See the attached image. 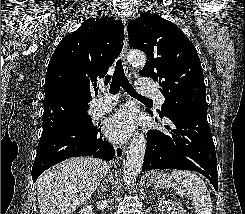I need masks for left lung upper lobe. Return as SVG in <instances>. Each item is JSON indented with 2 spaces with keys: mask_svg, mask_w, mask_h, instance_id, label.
<instances>
[{
  "mask_svg": "<svg viewBox=\"0 0 245 214\" xmlns=\"http://www.w3.org/2000/svg\"><path fill=\"white\" fill-rule=\"evenodd\" d=\"M128 38L131 48L140 49L147 56L140 75L159 81L165 97L160 117L189 109H208L199 56L176 25L158 15L141 13L129 21Z\"/></svg>",
  "mask_w": 245,
  "mask_h": 214,
  "instance_id": "1",
  "label": "left lung upper lobe"
}]
</instances>
